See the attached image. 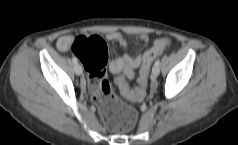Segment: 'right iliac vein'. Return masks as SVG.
Here are the masks:
<instances>
[{
	"mask_svg": "<svg viewBox=\"0 0 238 145\" xmlns=\"http://www.w3.org/2000/svg\"><path fill=\"white\" fill-rule=\"evenodd\" d=\"M74 70L76 75L78 76H80L83 72L82 66L80 64H76Z\"/></svg>",
	"mask_w": 238,
	"mask_h": 145,
	"instance_id": "obj_1",
	"label": "right iliac vein"
}]
</instances>
